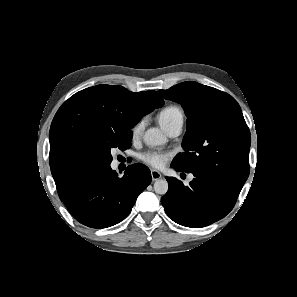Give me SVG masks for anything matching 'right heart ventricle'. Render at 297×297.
Masks as SVG:
<instances>
[{"label":"right heart ventricle","instance_id":"e07e8e85","mask_svg":"<svg viewBox=\"0 0 297 297\" xmlns=\"http://www.w3.org/2000/svg\"><path fill=\"white\" fill-rule=\"evenodd\" d=\"M158 121L162 128L167 131L173 125L183 123L184 114L182 109L177 105H169L159 112Z\"/></svg>","mask_w":297,"mask_h":297}]
</instances>
